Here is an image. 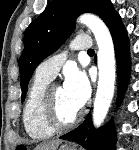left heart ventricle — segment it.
<instances>
[{"label": "left heart ventricle", "instance_id": "left-heart-ventricle-1", "mask_svg": "<svg viewBox=\"0 0 139 150\" xmlns=\"http://www.w3.org/2000/svg\"><path fill=\"white\" fill-rule=\"evenodd\" d=\"M54 103L56 115L62 122L72 120L79 111L60 86L54 91Z\"/></svg>", "mask_w": 139, "mask_h": 150}]
</instances>
